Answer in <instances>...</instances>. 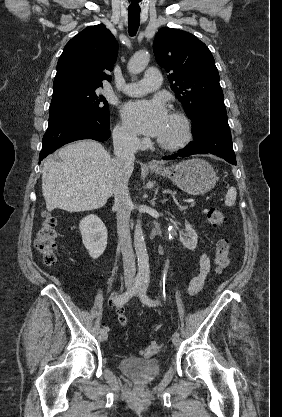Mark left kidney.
<instances>
[{
	"instance_id": "left-kidney-1",
	"label": "left kidney",
	"mask_w": 282,
	"mask_h": 417,
	"mask_svg": "<svg viewBox=\"0 0 282 417\" xmlns=\"http://www.w3.org/2000/svg\"><path fill=\"white\" fill-rule=\"evenodd\" d=\"M185 233H180V243L186 247V249H189V251H194L197 247V233L194 231L192 225L188 223V221H185Z\"/></svg>"
}]
</instances>
